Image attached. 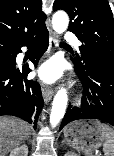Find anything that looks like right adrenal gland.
<instances>
[{"label":"right adrenal gland","instance_id":"1","mask_svg":"<svg viewBox=\"0 0 114 156\" xmlns=\"http://www.w3.org/2000/svg\"><path fill=\"white\" fill-rule=\"evenodd\" d=\"M27 141H28L29 143H31V138H30V137H28Z\"/></svg>","mask_w":114,"mask_h":156}]
</instances>
